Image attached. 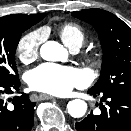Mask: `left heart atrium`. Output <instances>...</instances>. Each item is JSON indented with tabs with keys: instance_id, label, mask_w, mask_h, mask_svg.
I'll return each mask as SVG.
<instances>
[{
	"instance_id": "1",
	"label": "left heart atrium",
	"mask_w": 131,
	"mask_h": 131,
	"mask_svg": "<svg viewBox=\"0 0 131 131\" xmlns=\"http://www.w3.org/2000/svg\"><path fill=\"white\" fill-rule=\"evenodd\" d=\"M28 84L33 90L63 96L83 86L85 77L73 67L46 63L29 72Z\"/></svg>"
}]
</instances>
